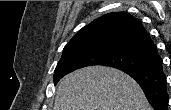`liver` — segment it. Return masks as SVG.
Returning a JSON list of instances; mask_svg holds the SVG:
<instances>
[{"mask_svg": "<svg viewBox=\"0 0 171 110\" xmlns=\"http://www.w3.org/2000/svg\"><path fill=\"white\" fill-rule=\"evenodd\" d=\"M54 110H152L137 82L105 66L76 70L58 84Z\"/></svg>", "mask_w": 171, "mask_h": 110, "instance_id": "6515ba94", "label": "liver"}]
</instances>
